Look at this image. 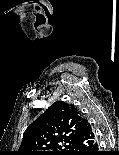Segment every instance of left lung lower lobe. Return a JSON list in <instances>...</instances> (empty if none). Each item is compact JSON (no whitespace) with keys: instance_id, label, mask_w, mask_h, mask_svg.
I'll return each mask as SVG.
<instances>
[{"instance_id":"0a47b994","label":"left lung lower lobe","mask_w":119,"mask_h":155,"mask_svg":"<svg viewBox=\"0 0 119 155\" xmlns=\"http://www.w3.org/2000/svg\"><path fill=\"white\" fill-rule=\"evenodd\" d=\"M76 155H104L99 151L97 138L87 119L80 121V127L75 140Z\"/></svg>"}]
</instances>
